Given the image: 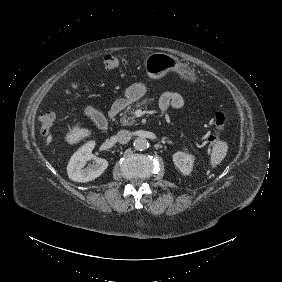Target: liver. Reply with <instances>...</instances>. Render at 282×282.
<instances>
[{"label": "liver", "mask_w": 282, "mask_h": 282, "mask_svg": "<svg viewBox=\"0 0 282 282\" xmlns=\"http://www.w3.org/2000/svg\"><path fill=\"white\" fill-rule=\"evenodd\" d=\"M94 130L88 127H84V123L80 120L72 122L71 124L67 123V128L63 135L64 142L72 147L80 142L94 138ZM54 136L49 134L46 138V146L50 147L53 143Z\"/></svg>", "instance_id": "liver-1"}]
</instances>
